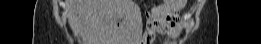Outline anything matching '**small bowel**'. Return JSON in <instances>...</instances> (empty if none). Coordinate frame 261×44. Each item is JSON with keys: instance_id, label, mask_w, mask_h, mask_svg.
Segmentation results:
<instances>
[{"instance_id": "c3829d8e", "label": "small bowel", "mask_w": 261, "mask_h": 44, "mask_svg": "<svg viewBox=\"0 0 261 44\" xmlns=\"http://www.w3.org/2000/svg\"><path fill=\"white\" fill-rule=\"evenodd\" d=\"M182 6L162 4L153 8V16L148 24V37L155 33L176 35L179 25V12Z\"/></svg>"}]
</instances>
